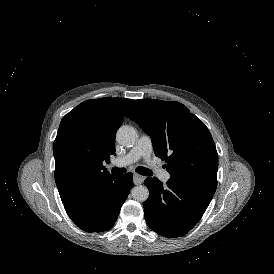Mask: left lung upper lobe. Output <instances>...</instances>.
I'll list each match as a JSON object with an SVG mask.
<instances>
[{
	"instance_id": "5c2ea615",
	"label": "left lung upper lobe",
	"mask_w": 274,
	"mask_h": 274,
	"mask_svg": "<svg viewBox=\"0 0 274 274\" xmlns=\"http://www.w3.org/2000/svg\"><path fill=\"white\" fill-rule=\"evenodd\" d=\"M151 137L156 156L170 178L211 189L217 187L218 154L205 124L183 104L140 99L127 114Z\"/></svg>"
}]
</instances>
